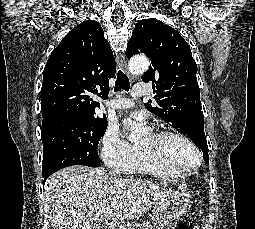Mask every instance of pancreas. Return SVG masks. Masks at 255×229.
Returning <instances> with one entry per match:
<instances>
[{"label":"pancreas","instance_id":"1","mask_svg":"<svg viewBox=\"0 0 255 229\" xmlns=\"http://www.w3.org/2000/svg\"><path fill=\"white\" fill-rule=\"evenodd\" d=\"M127 229H154L150 222L144 221L142 223H137L129 225Z\"/></svg>","mask_w":255,"mask_h":229}]
</instances>
